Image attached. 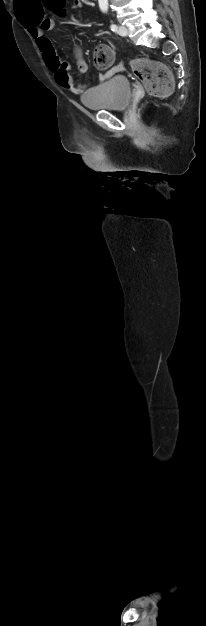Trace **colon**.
I'll return each instance as SVG.
<instances>
[{"label": "colon", "mask_w": 206, "mask_h": 626, "mask_svg": "<svg viewBox=\"0 0 206 626\" xmlns=\"http://www.w3.org/2000/svg\"><path fill=\"white\" fill-rule=\"evenodd\" d=\"M44 3L50 10L62 11L66 0H44ZM93 62L99 69L110 67L113 62L112 50L107 45L97 46L94 51ZM130 67L152 97L164 98L170 94L173 88V79L164 64L145 58H136L130 62Z\"/></svg>", "instance_id": "obj_1"}]
</instances>
